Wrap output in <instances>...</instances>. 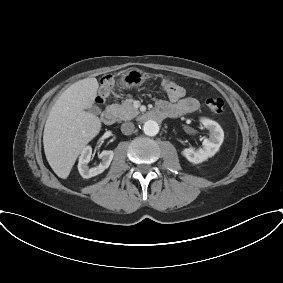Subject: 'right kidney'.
Masks as SVG:
<instances>
[{"instance_id": "ca27d5eb", "label": "right kidney", "mask_w": 283, "mask_h": 283, "mask_svg": "<svg viewBox=\"0 0 283 283\" xmlns=\"http://www.w3.org/2000/svg\"><path fill=\"white\" fill-rule=\"evenodd\" d=\"M91 155H92V148L90 146H87L82 150L81 155L79 157L78 170L80 175L86 179L104 172V170L109 167L114 157L113 151L104 150L99 155V158L101 159V163L96 167L89 168L88 163L91 160Z\"/></svg>"}]
</instances>
